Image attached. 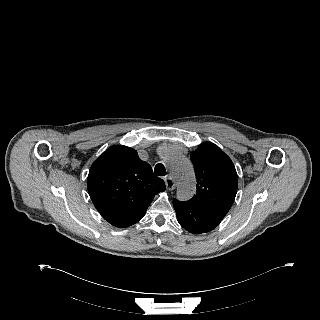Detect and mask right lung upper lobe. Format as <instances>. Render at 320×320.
Masks as SVG:
<instances>
[{
  "label": "right lung upper lobe",
  "mask_w": 320,
  "mask_h": 320,
  "mask_svg": "<svg viewBox=\"0 0 320 320\" xmlns=\"http://www.w3.org/2000/svg\"><path fill=\"white\" fill-rule=\"evenodd\" d=\"M87 188L96 209L113 225L144 215L165 183L136 150L115 145L92 164Z\"/></svg>",
  "instance_id": "obj_1"
}]
</instances>
